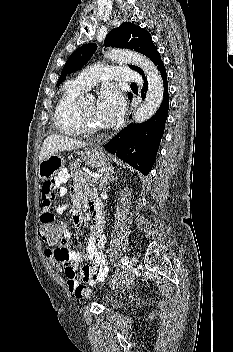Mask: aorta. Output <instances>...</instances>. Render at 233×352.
<instances>
[{
  "label": "aorta",
  "instance_id": "obj_1",
  "mask_svg": "<svg viewBox=\"0 0 233 352\" xmlns=\"http://www.w3.org/2000/svg\"><path fill=\"white\" fill-rule=\"evenodd\" d=\"M105 57L116 62L134 64L143 70L148 80V90L144 102L133 116V121L143 123L149 120L160 107L164 96L163 81L156 66L146 56L128 50L110 49Z\"/></svg>",
  "mask_w": 233,
  "mask_h": 352
}]
</instances>
